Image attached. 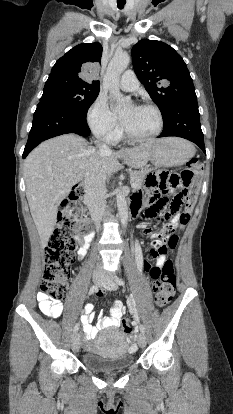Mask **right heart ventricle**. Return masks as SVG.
<instances>
[{"mask_svg":"<svg viewBox=\"0 0 233 414\" xmlns=\"http://www.w3.org/2000/svg\"><path fill=\"white\" fill-rule=\"evenodd\" d=\"M122 139V134H121V132L119 131L118 132V134H117V137H116V139H115V141L114 142H117V141H119V140H121Z\"/></svg>","mask_w":233,"mask_h":414,"instance_id":"1","label":"right heart ventricle"}]
</instances>
